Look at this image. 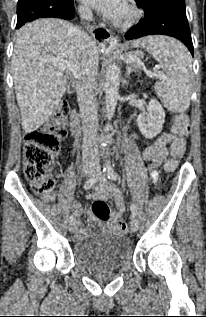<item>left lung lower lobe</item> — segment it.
<instances>
[{"mask_svg": "<svg viewBox=\"0 0 206 317\" xmlns=\"http://www.w3.org/2000/svg\"><path fill=\"white\" fill-rule=\"evenodd\" d=\"M129 32L125 35L127 40L154 34L175 37L188 47L192 56L194 55L190 29L185 13L160 10L145 14V17L137 25H133Z\"/></svg>", "mask_w": 206, "mask_h": 317, "instance_id": "left-lung-lower-lobe-1", "label": "left lung lower lobe"}]
</instances>
